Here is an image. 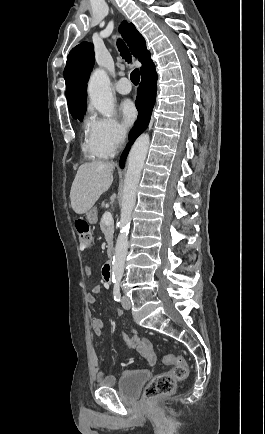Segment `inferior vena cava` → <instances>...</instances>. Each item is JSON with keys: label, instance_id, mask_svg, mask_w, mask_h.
<instances>
[{"label": "inferior vena cava", "instance_id": "obj_1", "mask_svg": "<svg viewBox=\"0 0 265 434\" xmlns=\"http://www.w3.org/2000/svg\"><path fill=\"white\" fill-rule=\"evenodd\" d=\"M120 138H121V142H123V140H124L123 134H121Z\"/></svg>", "mask_w": 265, "mask_h": 434}]
</instances>
